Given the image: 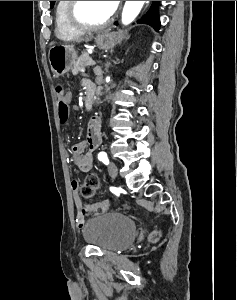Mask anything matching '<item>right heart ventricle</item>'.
I'll return each mask as SVG.
<instances>
[{
    "label": "right heart ventricle",
    "instance_id": "1",
    "mask_svg": "<svg viewBox=\"0 0 237 300\" xmlns=\"http://www.w3.org/2000/svg\"><path fill=\"white\" fill-rule=\"evenodd\" d=\"M70 1H57L55 9L56 34L61 39H71L82 34L74 29L67 18V9Z\"/></svg>",
    "mask_w": 237,
    "mask_h": 300
}]
</instances>
